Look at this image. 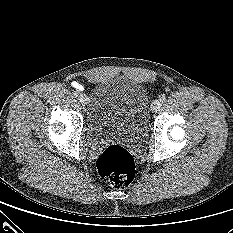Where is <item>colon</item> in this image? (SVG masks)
Returning a JSON list of instances; mask_svg holds the SVG:
<instances>
[{
  "label": "colon",
  "instance_id": "1",
  "mask_svg": "<svg viewBox=\"0 0 233 233\" xmlns=\"http://www.w3.org/2000/svg\"><path fill=\"white\" fill-rule=\"evenodd\" d=\"M101 177L114 188H124L134 178L135 164L131 154L120 145H110L97 159Z\"/></svg>",
  "mask_w": 233,
  "mask_h": 233
}]
</instances>
